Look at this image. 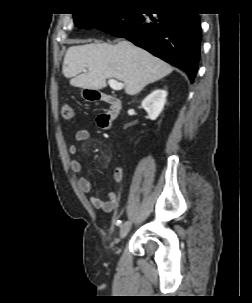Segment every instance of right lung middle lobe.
I'll list each match as a JSON object with an SVG mask.
<instances>
[{
    "instance_id": "1",
    "label": "right lung middle lobe",
    "mask_w": 252,
    "mask_h": 303,
    "mask_svg": "<svg viewBox=\"0 0 252 303\" xmlns=\"http://www.w3.org/2000/svg\"><path fill=\"white\" fill-rule=\"evenodd\" d=\"M127 14L123 13H85L74 14V22L79 28L101 29L107 25L114 24Z\"/></svg>"
}]
</instances>
